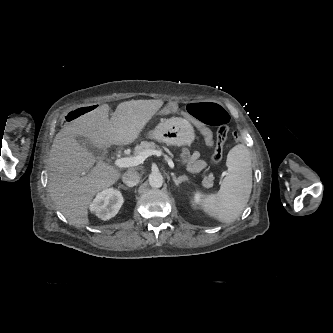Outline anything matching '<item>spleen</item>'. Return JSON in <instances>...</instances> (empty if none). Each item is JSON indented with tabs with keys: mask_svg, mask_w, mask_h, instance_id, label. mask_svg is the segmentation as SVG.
I'll list each match as a JSON object with an SVG mask.
<instances>
[{
	"mask_svg": "<svg viewBox=\"0 0 333 333\" xmlns=\"http://www.w3.org/2000/svg\"><path fill=\"white\" fill-rule=\"evenodd\" d=\"M227 176L220 190L205 196L202 210L222 223L235 221L245 209L252 189L250 151L244 144L234 146L227 155Z\"/></svg>",
	"mask_w": 333,
	"mask_h": 333,
	"instance_id": "obj_1",
	"label": "spleen"
}]
</instances>
